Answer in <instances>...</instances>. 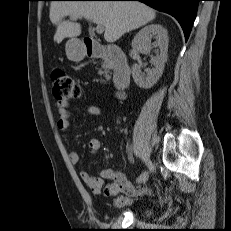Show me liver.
<instances>
[{"instance_id": "liver-1", "label": "liver", "mask_w": 231, "mask_h": 231, "mask_svg": "<svg viewBox=\"0 0 231 231\" xmlns=\"http://www.w3.org/2000/svg\"><path fill=\"white\" fill-rule=\"evenodd\" d=\"M76 16L92 20L105 28L104 39L108 43L119 40L125 33L138 29L155 19V11L136 1H53L50 5V21L57 26L54 40L61 43L66 37L81 34L78 23L63 20Z\"/></svg>"}]
</instances>
